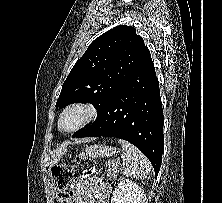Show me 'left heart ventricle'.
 <instances>
[{
	"instance_id": "obj_1",
	"label": "left heart ventricle",
	"mask_w": 222,
	"mask_h": 203,
	"mask_svg": "<svg viewBox=\"0 0 222 203\" xmlns=\"http://www.w3.org/2000/svg\"><path fill=\"white\" fill-rule=\"evenodd\" d=\"M84 117L83 112L79 110H73L67 113L61 122V127L63 129H70L77 125Z\"/></svg>"
}]
</instances>
